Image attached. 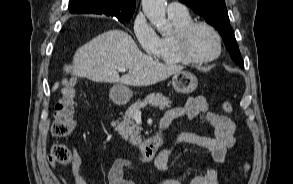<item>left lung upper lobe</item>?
Returning a JSON list of instances; mask_svg holds the SVG:
<instances>
[{
	"instance_id": "5c2ea615",
	"label": "left lung upper lobe",
	"mask_w": 293,
	"mask_h": 184,
	"mask_svg": "<svg viewBox=\"0 0 293 184\" xmlns=\"http://www.w3.org/2000/svg\"><path fill=\"white\" fill-rule=\"evenodd\" d=\"M188 5L195 13L202 16L214 26L223 38L228 52L234 62L244 67L243 60L230 25L224 0H179Z\"/></svg>"
}]
</instances>
